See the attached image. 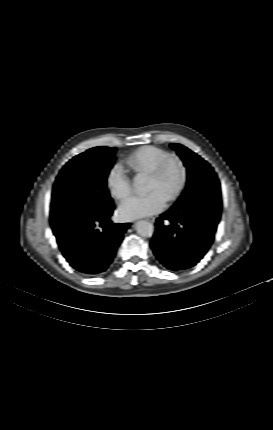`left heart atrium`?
<instances>
[{"mask_svg":"<svg viewBox=\"0 0 273 430\" xmlns=\"http://www.w3.org/2000/svg\"><path fill=\"white\" fill-rule=\"evenodd\" d=\"M166 198L157 190L142 196H132L118 208V216L123 220H133L156 214L164 209Z\"/></svg>","mask_w":273,"mask_h":430,"instance_id":"left-heart-atrium-1","label":"left heart atrium"}]
</instances>
